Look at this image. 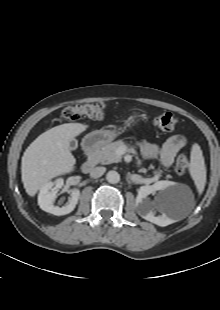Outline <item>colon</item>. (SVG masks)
<instances>
[{
    "instance_id": "5ec220e1",
    "label": "colon",
    "mask_w": 220,
    "mask_h": 310,
    "mask_svg": "<svg viewBox=\"0 0 220 310\" xmlns=\"http://www.w3.org/2000/svg\"><path fill=\"white\" fill-rule=\"evenodd\" d=\"M105 105L102 102H87L79 105L68 106L64 108L60 117L68 121H76L84 117L100 119L104 116ZM154 125L163 131H172L177 123L176 117L170 113L165 112L157 115L153 119ZM190 166V158L187 155H180L177 159L175 171L178 174L187 172Z\"/></svg>"
}]
</instances>
